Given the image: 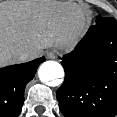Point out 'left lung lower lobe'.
Masks as SVG:
<instances>
[{
  "label": "left lung lower lobe",
  "instance_id": "1",
  "mask_svg": "<svg viewBox=\"0 0 117 117\" xmlns=\"http://www.w3.org/2000/svg\"><path fill=\"white\" fill-rule=\"evenodd\" d=\"M64 83L56 93L65 117L117 114V21L98 16L75 49L61 62Z\"/></svg>",
  "mask_w": 117,
  "mask_h": 117
}]
</instances>
